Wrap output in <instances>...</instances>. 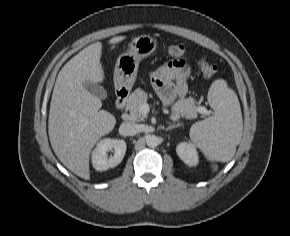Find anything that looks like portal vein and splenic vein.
<instances>
[{
	"instance_id": "18ae733b",
	"label": "portal vein and splenic vein",
	"mask_w": 290,
	"mask_h": 236,
	"mask_svg": "<svg viewBox=\"0 0 290 236\" xmlns=\"http://www.w3.org/2000/svg\"><path fill=\"white\" fill-rule=\"evenodd\" d=\"M198 110L201 112V113H205L206 112V108L205 107H199ZM141 111L146 114L148 111H149V106L147 104H143L141 106ZM171 118L173 120H178L179 117L178 116H171Z\"/></svg>"
}]
</instances>
